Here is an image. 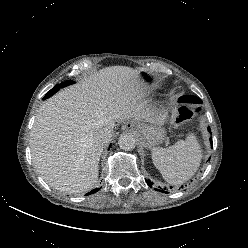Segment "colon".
I'll return each instance as SVG.
<instances>
[{
    "mask_svg": "<svg viewBox=\"0 0 248 248\" xmlns=\"http://www.w3.org/2000/svg\"><path fill=\"white\" fill-rule=\"evenodd\" d=\"M194 113L195 111L193 109H190L188 107H182L179 113V120L180 121L190 120L193 117Z\"/></svg>",
    "mask_w": 248,
    "mask_h": 248,
    "instance_id": "colon-1",
    "label": "colon"
}]
</instances>
